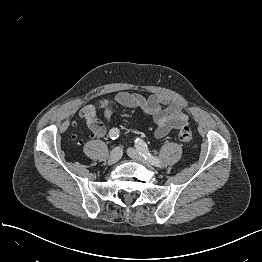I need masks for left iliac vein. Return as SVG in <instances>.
<instances>
[{
    "mask_svg": "<svg viewBox=\"0 0 262 262\" xmlns=\"http://www.w3.org/2000/svg\"><path fill=\"white\" fill-rule=\"evenodd\" d=\"M127 154L129 155V157L137 160L138 162L144 164V165H149V162L144 159L137 150H135L134 148H128L127 149Z\"/></svg>",
    "mask_w": 262,
    "mask_h": 262,
    "instance_id": "obj_1",
    "label": "left iliac vein"
}]
</instances>
